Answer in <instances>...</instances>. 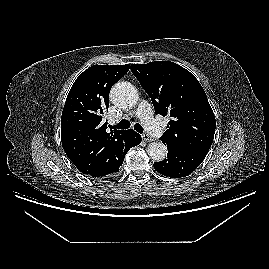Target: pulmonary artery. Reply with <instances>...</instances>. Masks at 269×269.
Wrapping results in <instances>:
<instances>
[{"label": "pulmonary artery", "mask_w": 269, "mask_h": 269, "mask_svg": "<svg viewBox=\"0 0 269 269\" xmlns=\"http://www.w3.org/2000/svg\"><path fill=\"white\" fill-rule=\"evenodd\" d=\"M137 117L141 120L145 130L154 138H159L164 133L163 126L153 118V110L150 104L142 101L137 110Z\"/></svg>", "instance_id": "pulmonary-artery-1"}]
</instances>
